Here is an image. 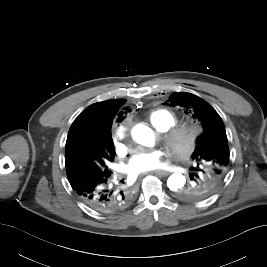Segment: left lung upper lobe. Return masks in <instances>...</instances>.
Listing matches in <instances>:
<instances>
[{"label": "left lung upper lobe", "mask_w": 267, "mask_h": 267, "mask_svg": "<svg viewBox=\"0 0 267 267\" xmlns=\"http://www.w3.org/2000/svg\"><path fill=\"white\" fill-rule=\"evenodd\" d=\"M170 106L189 111L203 128L192 154V182L178 191L182 200H198L213 194L229 169V147L225 127L219 114L206 101L188 92H175L168 99Z\"/></svg>", "instance_id": "1"}]
</instances>
